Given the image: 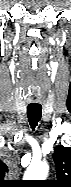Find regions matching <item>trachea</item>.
I'll use <instances>...</instances> for the list:
<instances>
[{"label": "trachea", "mask_w": 71, "mask_h": 187, "mask_svg": "<svg viewBox=\"0 0 71 187\" xmlns=\"http://www.w3.org/2000/svg\"><path fill=\"white\" fill-rule=\"evenodd\" d=\"M27 115L29 123L34 130L42 116V106L41 105H28Z\"/></svg>", "instance_id": "3493384b"}]
</instances>
